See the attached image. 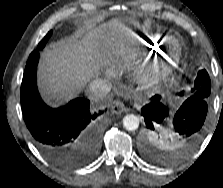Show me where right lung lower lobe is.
Returning <instances> with one entry per match:
<instances>
[{"label": "right lung lower lobe", "instance_id": "1", "mask_svg": "<svg viewBox=\"0 0 223 188\" xmlns=\"http://www.w3.org/2000/svg\"><path fill=\"white\" fill-rule=\"evenodd\" d=\"M39 50L27 61L21 84L23 118L33 141L44 156L58 167L77 168L96 154L100 146V132L89 101L77 98L67 105L51 108L37 90L36 70Z\"/></svg>", "mask_w": 223, "mask_h": 188}]
</instances>
